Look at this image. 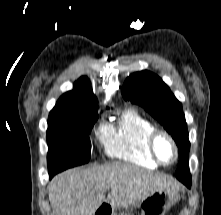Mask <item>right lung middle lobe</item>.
<instances>
[{
	"instance_id": "right-lung-middle-lobe-1",
	"label": "right lung middle lobe",
	"mask_w": 221,
	"mask_h": 215,
	"mask_svg": "<svg viewBox=\"0 0 221 215\" xmlns=\"http://www.w3.org/2000/svg\"><path fill=\"white\" fill-rule=\"evenodd\" d=\"M97 105L76 104L54 107L49 114L47 161L49 174L87 163L90 131L98 119Z\"/></svg>"
}]
</instances>
